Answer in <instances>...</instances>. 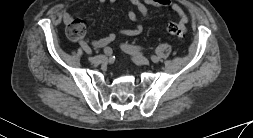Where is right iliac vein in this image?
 Masks as SVG:
<instances>
[{"instance_id":"right-iliac-vein-1","label":"right iliac vein","mask_w":253,"mask_h":138,"mask_svg":"<svg viewBox=\"0 0 253 138\" xmlns=\"http://www.w3.org/2000/svg\"><path fill=\"white\" fill-rule=\"evenodd\" d=\"M106 56L105 55H97V56H94L92 58H90V61L94 64H100V63H103L106 61Z\"/></svg>"}]
</instances>
